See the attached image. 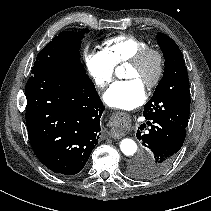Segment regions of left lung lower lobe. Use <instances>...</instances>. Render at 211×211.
<instances>
[{
    "mask_svg": "<svg viewBox=\"0 0 211 211\" xmlns=\"http://www.w3.org/2000/svg\"><path fill=\"white\" fill-rule=\"evenodd\" d=\"M147 124L151 127L149 133L142 135L138 130L136 136L150 150L151 156L148 160L137 157L130 164L138 177L146 179L157 177L170 167L186 137V128L173 120L156 118Z\"/></svg>",
    "mask_w": 211,
    "mask_h": 211,
    "instance_id": "1",
    "label": "left lung lower lobe"
}]
</instances>
